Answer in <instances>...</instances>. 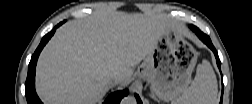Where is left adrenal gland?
<instances>
[{
  "label": "left adrenal gland",
  "mask_w": 252,
  "mask_h": 104,
  "mask_svg": "<svg viewBox=\"0 0 252 104\" xmlns=\"http://www.w3.org/2000/svg\"><path fill=\"white\" fill-rule=\"evenodd\" d=\"M151 97L154 98V99H156V97H155V95H154L153 92L151 93Z\"/></svg>",
  "instance_id": "obj_1"
}]
</instances>
